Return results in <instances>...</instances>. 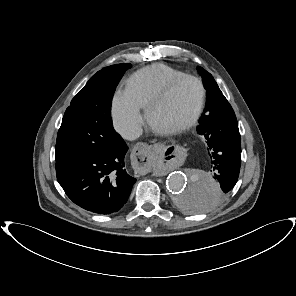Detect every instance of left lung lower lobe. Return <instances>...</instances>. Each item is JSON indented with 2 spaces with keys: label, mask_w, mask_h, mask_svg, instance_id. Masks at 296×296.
Here are the masks:
<instances>
[{
  "label": "left lung lower lobe",
  "mask_w": 296,
  "mask_h": 296,
  "mask_svg": "<svg viewBox=\"0 0 296 296\" xmlns=\"http://www.w3.org/2000/svg\"><path fill=\"white\" fill-rule=\"evenodd\" d=\"M197 132L206 143L211 159L212 170L218 179L219 188L193 185L190 189L185 208L201 211L223 199L238 180L241 162V137L235 113L224 98L216 103L206 114L203 113Z\"/></svg>",
  "instance_id": "1"
}]
</instances>
